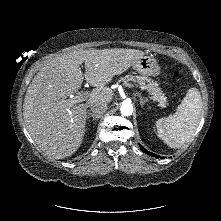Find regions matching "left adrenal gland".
Segmentation results:
<instances>
[{"instance_id": "a2214340", "label": "left adrenal gland", "mask_w": 221, "mask_h": 221, "mask_svg": "<svg viewBox=\"0 0 221 221\" xmlns=\"http://www.w3.org/2000/svg\"><path fill=\"white\" fill-rule=\"evenodd\" d=\"M137 96L140 99L141 106H143L147 102V98L142 97L141 94H139V93H137Z\"/></svg>"}]
</instances>
